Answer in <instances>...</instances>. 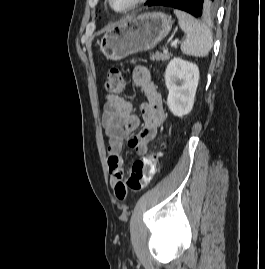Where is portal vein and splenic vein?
Listing matches in <instances>:
<instances>
[{
	"label": "portal vein and splenic vein",
	"instance_id": "obj_1",
	"mask_svg": "<svg viewBox=\"0 0 265 269\" xmlns=\"http://www.w3.org/2000/svg\"><path fill=\"white\" fill-rule=\"evenodd\" d=\"M178 43H179L178 41L172 42L171 47H177ZM167 52H168V49H164V53H167Z\"/></svg>",
	"mask_w": 265,
	"mask_h": 269
}]
</instances>
